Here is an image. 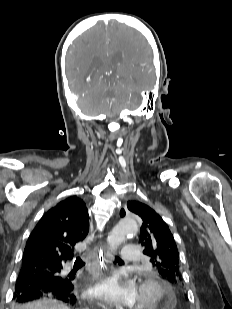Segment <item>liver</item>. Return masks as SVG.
Listing matches in <instances>:
<instances>
[{
	"instance_id": "1",
	"label": "liver",
	"mask_w": 232,
	"mask_h": 309,
	"mask_svg": "<svg viewBox=\"0 0 232 309\" xmlns=\"http://www.w3.org/2000/svg\"><path fill=\"white\" fill-rule=\"evenodd\" d=\"M19 309H70L63 303L52 299H41L22 305Z\"/></svg>"
}]
</instances>
